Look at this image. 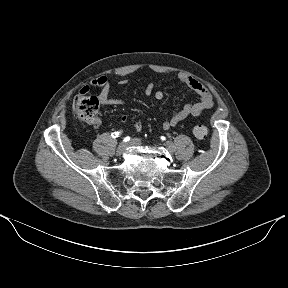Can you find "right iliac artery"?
<instances>
[{
    "mask_svg": "<svg viewBox=\"0 0 288 288\" xmlns=\"http://www.w3.org/2000/svg\"><path fill=\"white\" fill-rule=\"evenodd\" d=\"M119 132H113L112 134H111V136L113 137V138H116V137H118L119 136Z\"/></svg>",
    "mask_w": 288,
    "mask_h": 288,
    "instance_id": "right-iliac-artery-1",
    "label": "right iliac artery"
}]
</instances>
